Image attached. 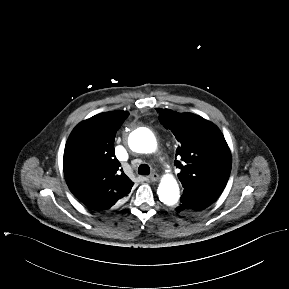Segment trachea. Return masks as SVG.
Wrapping results in <instances>:
<instances>
[{
  "label": "trachea",
  "instance_id": "trachea-1",
  "mask_svg": "<svg viewBox=\"0 0 289 289\" xmlns=\"http://www.w3.org/2000/svg\"><path fill=\"white\" fill-rule=\"evenodd\" d=\"M150 167L147 164H141L138 168V174L140 175H149Z\"/></svg>",
  "mask_w": 289,
  "mask_h": 289
}]
</instances>
